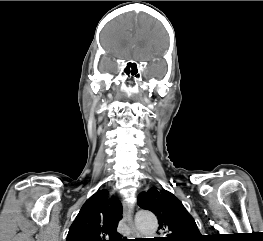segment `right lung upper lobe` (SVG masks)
Returning <instances> with one entry per match:
<instances>
[{"label":"right lung upper lobe","mask_w":263,"mask_h":241,"mask_svg":"<svg viewBox=\"0 0 263 241\" xmlns=\"http://www.w3.org/2000/svg\"><path fill=\"white\" fill-rule=\"evenodd\" d=\"M122 219V205L108 199L106 190L97 191L82 206L70 226L66 241H126L117 233Z\"/></svg>","instance_id":"1"}]
</instances>
